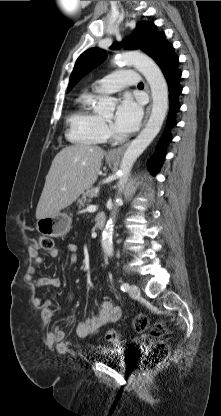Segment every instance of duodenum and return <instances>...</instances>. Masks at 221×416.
I'll return each mask as SVG.
<instances>
[{
	"label": "duodenum",
	"instance_id": "duodenum-1",
	"mask_svg": "<svg viewBox=\"0 0 221 416\" xmlns=\"http://www.w3.org/2000/svg\"><path fill=\"white\" fill-rule=\"evenodd\" d=\"M106 223V217L104 215H100L96 217V227L97 229H103Z\"/></svg>",
	"mask_w": 221,
	"mask_h": 416
}]
</instances>
